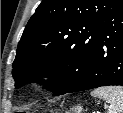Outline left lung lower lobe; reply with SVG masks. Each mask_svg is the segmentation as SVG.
<instances>
[{"mask_svg": "<svg viewBox=\"0 0 123 113\" xmlns=\"http://www.w3.org/2000/svg\"><path fill=\"white\" fill-rule=\"evenodd\" d=\"M109 85L123 86V0H115L102 18L83 80L62 94Z\"/></svg>", "mask_w": 123, "mask_h": 113, "instance_id": "left-lung-lower-lobe-1", "label": "left lung lower lobe"}]
</instances>
